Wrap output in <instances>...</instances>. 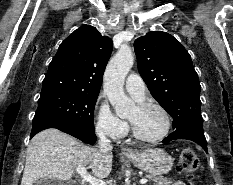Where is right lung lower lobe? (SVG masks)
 Segmentation results:
<instances>
[{"label": "right lung lower lobe", "instance_id": "98d812e1", "mask_svg": "<svg viewBox=\"0 0 233 185\" xmlns=\"http://www.w3.org/2000/svg\"><path fill=\"white\" fill-rule=\"evenodd\" d=\"M61 131L68 133L88 144H93L96 141V135L91 131L76 128H61Z\"/></svg>", "mask_w": 233, "mask_h": 185}]
</instances>
